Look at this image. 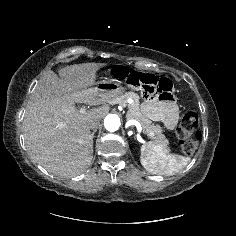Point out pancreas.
I'll use <instances>...</instances> for the list:
<instances>
[{"mask_svg":"<svg viewBox=\"0 0 236 236\" xmlns=\"http://www.w3.org/2000/svg\"><path fill=\"white\" fill-rule=\"evenodd\" d=\"M128 98L133 99L132 104H127ZM115 99H117L122 106H128V119L137 120L141 124L145 133L153 140L154 143L159 144L165 149L169 150V141L165 137V135L162 134V128L159 125H154L152 121H150L141 113L139 108V97L136 93H124L116 97Z\"/></svg>","mask_w":236,"mask_h":236,"instance_id":"obj_1","label":"pancreas"}]
</instances>
